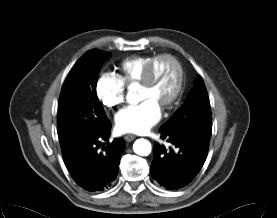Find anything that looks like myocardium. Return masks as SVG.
Returning a JSON list of instances; mask_svg holds the SVG:
<instances>
[{"instance_id":"1","label":"myocardium","mask_w":277,"mask_h":218,"mask_svg":"<svg viewBox=\"0 0 277 218\" xmlns=\"http://www.w3.org/2000/svg\"><path fill=\"white\" fill-rule=\"evenodd\" d=\"M160 60H167L170 63H172L177 72L176 82L174 84L173 89L165 97V99H163L160 103V105L162 107H167V106L171 105L179 97L182 87H183V83H184L183 65H182L181 61L175 55L164 53V54L155 56L151 60V62L148 64V66L145 70V74H144L140 84L144 87L150 86L152 84L154 70H155L157 63Z\"/></svg>"}]
</instances>
